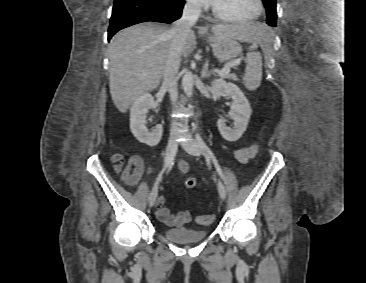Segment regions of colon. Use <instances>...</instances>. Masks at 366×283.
Returning <instances> with one entry per match:
<instances>
[{"mask_svg":"<svg viewBox=\"0 0 366 283\" xmlns=\"http://www.w3.org/2000/svg\"><path fill=\"white\" fill-rule=\"evenodd\" d=\"M184 185L188 189H193L197 185V179L195 177H188L185 180ZM212 220H213V217L211 215H199L196 218L197 223L202 224V225L210 224L212 222Z\"/></svg>","mask_w":366,"mask_h":283,"instance_id":"1","label":"colon"}]
</instances>
